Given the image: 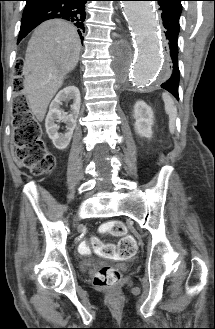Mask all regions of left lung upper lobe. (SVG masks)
<instances>
[{
    "label": "left lung upper lobe",
    "mask_w": 215,
    "mask_h": 329,
    "mask_svg": "<svg viewBox=\"0 0 215 329\" xmlns=\"http://www.w3.org/2000/svg\"><path fill=\"white\" fill-rule=\"evenodd\" d=\"M168 1H170L173 5H175L180 10H182L181 1H184V0H168Z\"/></svg>",
    "instance_id": "5c2ea615"
}]
</instances>
